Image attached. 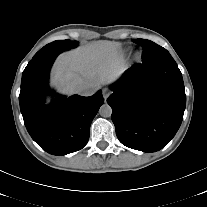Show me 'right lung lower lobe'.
<instances>
[{"mask_svg": "<svg viewBox=\"0 0 207 207\" xmlns=\"http://www.w3.org/2000/svg\"><path fill=\"white\" fill-rule=\"evenodd\" d=\"M59 53L33 58L22 74L20 110L32 139L52 155H66L88 142L90 125L104 99L99 90L90 97L56 94L48 86L50 68ZM47 95L52 104H44Z\"/></svg>", "mask_w": 207, "mask_h": 207, "instance_id": "1", "label": "right lung lower lobe"}]
</instances>
